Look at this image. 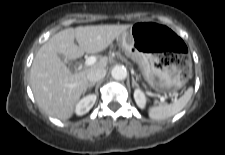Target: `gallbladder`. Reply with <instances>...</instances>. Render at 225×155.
<instances>
[{
    "label": "gallbladder",
    "instance_id": "obj_1",
    "mask_svg": "<svg viewBox=\"0 0 225 155\" xmlns=\"http://www.w3.org/2000/svg\"><path fill=\"white\" fill-rule=\"evenodd\" d=\"M60 58L62 59L63 62H65L69 68H72L73 67V62L66 59L63 55H60Z\"/></svg>",
    "mask_w": 225,
    "mask_h": 155
}]
</instances>
